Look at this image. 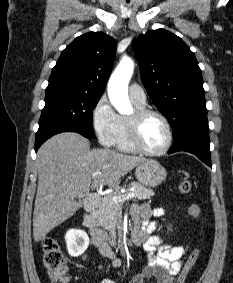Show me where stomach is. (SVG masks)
<instances>
[{"mask_svg":"<svg viewBox=\"0 0 233 283\" xmlns=\"http://www.w3.org/2000/svg\"><path fill=\"white\" fill-rule=\"evenodd\" d=\"M135 175L141 184L154 188L166 179L167 173L156 160L149 159L137 166Z\"/></svg>","mask_w":233,"mask_h":283,"instance_id":"stomach-1","label":"stomach"}]
</instances>
